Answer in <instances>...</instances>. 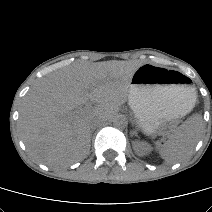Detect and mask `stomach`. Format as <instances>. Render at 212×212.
Here are the masks:
<instances>
[{
  "mask_svg": "<svg viewBox=\"0 0 212 212\" xmlns=\"http://www.w3.org/2000/svg\"><path fill=\"white\" fill-rule=\"evenodd\" d=\"M181 73L145 63L131 79L129 105L139 128L147 135L161 124L184 116L196 101V90Z\"/></svg>",
  "mask_w": 212,
  "mask_h": 212,
  "instance_id": "0dacf381",
  "label": "stomach"
}]
</instances>
